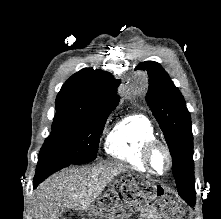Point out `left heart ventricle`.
<instances>
[{
	"mask_svg": "<svg viewBox=\"0 0 221 219\" xmlns=\"http://www.w3.org/2000/svg\"><path fill=\"white\" fill-rule=\"evenodd\" d=\"M152 165L155 171L162 173L167 167V158L162 149H155L152 154Z\"/></svg>",
	"mask_w": 221,
	"mask_h": 219,
	"instance_id": "obj_1",
	"label": "left heart ventricle"
}]
</instances>
